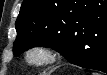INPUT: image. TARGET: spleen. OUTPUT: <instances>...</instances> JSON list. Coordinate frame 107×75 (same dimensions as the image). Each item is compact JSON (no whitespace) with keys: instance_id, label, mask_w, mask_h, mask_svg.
<instances>
[{"instance_id":"obj_1","label":"spleen","mask_w":107,"mask_h":75,"mask_svg":"<svg viewBox=\"0 0 107 75\" xmlns=\"http://www.w3.org/2000/svg\"><path fill=\"white\" fill-rule=\"evenodd\" d=\"M92 75H99L98 73H93Z\"/></svg>"}]
</instances>
